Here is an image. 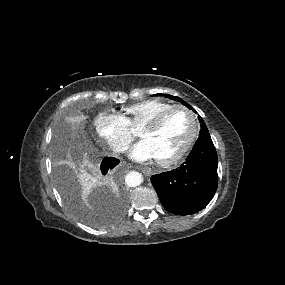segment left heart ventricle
Here are the masks:
<instances>
[{
  "instance_id": "obj_1",
  "label": "left heart ventricle",
  "mask_w": 285,
  "mask_h": 285,
  "mask_svg": "<svg viewBox=\"0 0 285 285\" xmlns=\"http://www.w3.org/2000/svg\"><path fill=\"white\" fill-rule=\"evenodd\" d=\"M191 131L189 117L184 112L177 111L158 129L142 128L139 135L149 143L156 160H160L177 153L189 139Z\"/></svg>"
}]
</instances>
